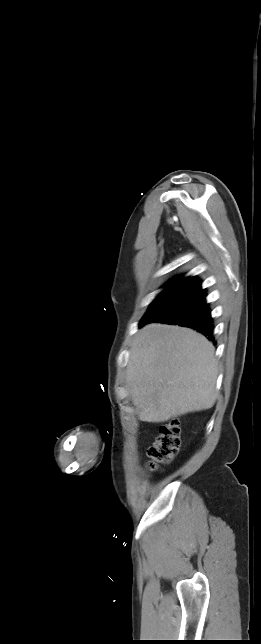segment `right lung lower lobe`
I'll use <instances>...</instances> for the list:
<instances>
[{
    "instance_id": "right-lung-lower-lobe-1",
    "label": "right lung lower lobe",
    "mask_w": 261,
    "mask_h": 644,
    "mask_svg": "<svg viewBox=\"0 0 261 644\" xmlns=\"http://www.w3.org/2000/svg\"><path fill=\"white\" fill-rule=\"evenodd\" d=\"M205 296L206 290H201L200 293L189 302L166 314L165 316L150 322H161L189 327L196 330L197 332L204 334L208 337L209 340H212L211 338L214 339L213 319L210 315L209 306L206 303ZM147 323L140 324V326H143Z\"/></svg>"
}]
</instances>
